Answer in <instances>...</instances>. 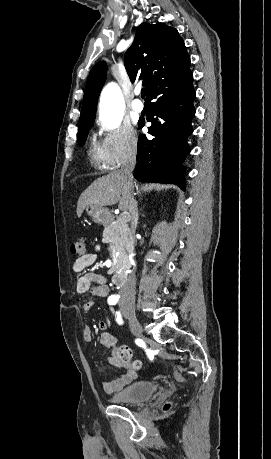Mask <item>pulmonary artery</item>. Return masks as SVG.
<instances>
[{
  "label": "pulmonary artery",
  "instance_id": "e3ab8cb5",
  "mask_svg": "<svg viewBox=\"0 0 271 459\" xmlns=\"http://www.w3.org/2000/svg\"><path fill=\"white\" fill-rule=\"evenodd\" d=\"M135 94H136L137 98L133 100V102L131 104V110L135 114H140L144 109V104H143L142 100L140 98H138L140 96V94H141V90L137 89L135 91Z\"/></svg>",
  "mask_w": 271,
  "mask_h": 459
}]
</instances>
